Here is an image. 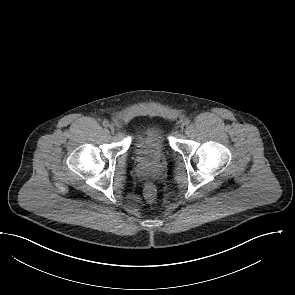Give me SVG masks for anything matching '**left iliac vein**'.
Returning <instances> with one entry per match:
<instances>
[{"label": "left iliac vein", "instance_id": "obj_1", "mask_svg": "<svg viewBox=\"0 0 295 295\" xmlns=\"http://www.w3.org/2000/svg\"><path fill=\"white\" fill-rule=\"evenodd\" d=\"M185 124L183 123V124H181V127H183Z\"/></svg>", "mask_w": 295, "mask_h": 295}]
</instances>
